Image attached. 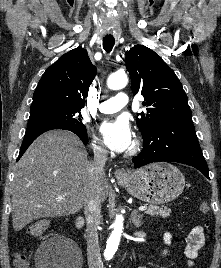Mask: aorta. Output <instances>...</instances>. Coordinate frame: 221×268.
<instances>
[{"label": "aorta", "mask_w": 221, "mask_h": 268, "mask_svg": "<svg viewBox=\"0 0 221 268\" xmlns=\"http://www.w3.org/2000/svg\"><path fill=\"white\" fill-rule=\"evenodd\" d=\"M128 83V77L125 73H115L109 76L107 80V86L111 90H119L124 88ZM123 232V217L121 215L116 216L113 223V231L107 240L105 256L110 259L117 251L120 238Z\"/></svg>", "instance_id": "obj_1"}]
</instances>
